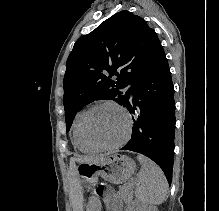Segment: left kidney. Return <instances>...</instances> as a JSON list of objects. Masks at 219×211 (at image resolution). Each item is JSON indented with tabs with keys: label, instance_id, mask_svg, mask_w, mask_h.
Wrapping results in <instances>:
<instances>
[{
	"label": "left kidney",
	"instance_id": "left-kidney-1",
	"mask_svg": "<svg viewBox=\"0 0 219 211\" xmlns=\"http://www.w3.org/2000/svg\"><path fill=\"white\" fill-rule=\"evenodd\" d=\"M132 211H158L157 207H150V205H143V203H133Z\"/></svg>",
	"mask_w": 219,
	"mask_h": 211
}]
</instances>
